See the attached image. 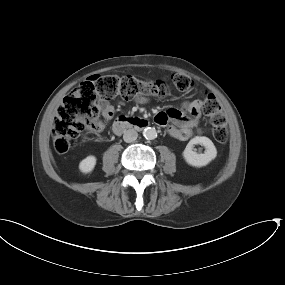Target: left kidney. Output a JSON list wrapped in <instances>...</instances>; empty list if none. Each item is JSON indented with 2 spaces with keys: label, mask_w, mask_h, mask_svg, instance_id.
<instances>
[{
  "label": "left kidney",
  "mask_w": 285,
  "mask_h": 285,
  "mask_svg": "<svg viewBox=\"0 0 285 285\" xmlns=\"http://www.w3.org/2000/svg\"><path fill=\"white\" fill-rule=\"evenodd\" d=\"M200 144L205 147L204 153H197L194 146ZM217 156V150L213 142L205 136L192 138L183 151L185 161L195 167H203L209 164Z\"/></svg>",
  "instance_id": "5707ae66"
}]
</instances>
